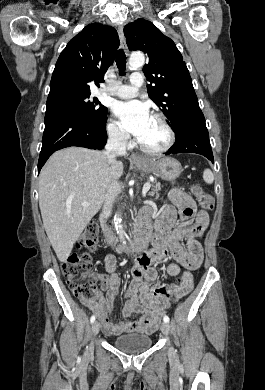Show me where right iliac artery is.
Wrapping results in <instances>:
<instances>
[{"instance_id": "82829eb1", "label": "right iliac artery", "mask_w": 265, "mask_h": 390, "mask_svg": "<svg viewBox=\"0 0 265 390\" xmlns=\"http://www.w3.org/2000/svg\"><path fill=\"white\" fill-rule=\"evenodd\" d=\"M95 321V315H92L90 318V322L93 323Z\"/></svg>"}]
</instances>
